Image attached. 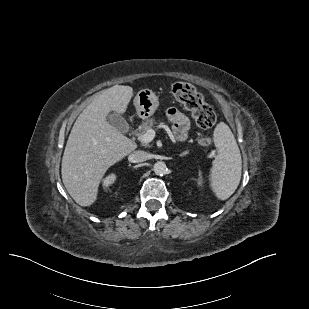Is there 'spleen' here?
<instances>
[{"mask_svg": "<svg viewBox=\"0 0 309 309\" xmlns=\"http://www.w3.org/2000/svg\"><path fill=\"white\" fill-rule=\"evenodd\" d=\"M214 143L218 154L210 170V186L219 200H226L240 183L241 154L232 131L224 122H220L214 130Z\"/></svg>", "mask_w": 309, "mask_h": 309, "instance_id": "spleen-1", "label": "spleen"}]
</instances>
